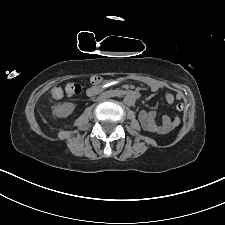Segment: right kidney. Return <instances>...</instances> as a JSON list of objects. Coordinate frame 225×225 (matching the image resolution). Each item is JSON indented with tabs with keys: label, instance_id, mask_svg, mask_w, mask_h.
<instances>
[{
	"label": "right kidney",
	"instance_id": "ca27d5eb",
	"mask_svg": "<svg viewBox=\"0 0 225 225\" xmlns=\"http://www.w3.org/2000/svg\"><path fill=\"white\" fill-rule=\"evenodd\" d=\"M74 109L75 105L73 103L65 102L57 105L53 112L57 117L66 118L74 111Z\"/></svg>",
	"mask_w": 225,
	"mask_h": 225
}]
</instances>
